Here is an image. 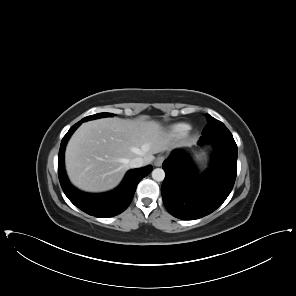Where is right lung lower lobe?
<instances>
[{
	"label": "right lung lower lobe",
	"instance_id": "right-lung-lower-lobe-1",
	"mask_svg": "<svg viewBox=\"0 0 296 296\" xmlns=\"http://www.w3.org/2000/svg\"><path fill=\"white\" fill-rule=\"evenodd\" d=\"M81 122L70 128L63 137L58 156V176L61 187L68 199L80 210L99 218H108L122 213L131 203L137 184L147 176L151 166L133 169L127 172L122 183L113 191L102 194H88L77 190L67 179L64 169V150L71 134Z\"/></svg>",
	"mask_w": 296,
	"mask_h": 296
}]
</instances>
